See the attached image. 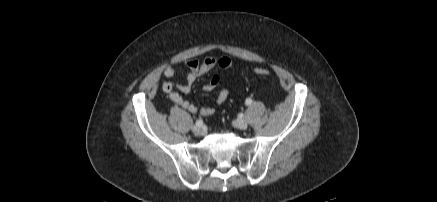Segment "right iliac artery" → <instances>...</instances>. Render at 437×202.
Returning <instances> with one entry per match:
<instances>
[{
    "instance_id": "obj_1",
    "label": "right iliac artery",
    "mask_w": 437,
    "mask_h": 202,
    "mask_svg": "<svg viewBox=\"0 0 437 202\" xmlns=\"http://www.w3.org/2000/svg\"><path fill=\"white\" fill-rule=\"evenodd\" d=\"M202 125H203V121H202L201 119H198V120L196 121V126H198V127H202Z\"/></svg>"
}]
</instances>
